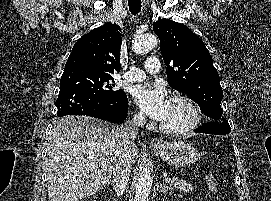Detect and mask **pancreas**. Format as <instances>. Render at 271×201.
I'll return each mask as SVG.
<instances>
[{
	"mask_svg": "<svg viewBox=\"0 0 271 201\" xmlns=\"http://www.w3.org/2000/svg\"><path fill=\"white\" fill-rule=\"evenodd\" d=\"M170 188L171 189L177 188L184 193H188L194 190L192 184L186 182L185 180L178 179L175 177L170 181Z\"/></svg>",
	"mask_w": 271,
	"mask_h": 201,
	"instance_id": "pancreas-1",
	"label": "pancreas"
}]
</instances>
